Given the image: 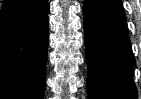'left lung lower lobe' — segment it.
Listing matches in <instances>:
<instances>
[{
  "label": "left lung lower lobe",
  "mask_w": 141,
  "mask_h": 99,
  "mask_svg": "<svg viewBox=\"0 0 141 99\" xmlns=\"http://www.w3.org/2000/svg\"><path fill=\"white\" fill-rule=\"evenodd\" d=\"M89 99H137L135 59L120 0H85Z\"/></svg>",
  "instance_id": "obj_1"
}]
</instances>
